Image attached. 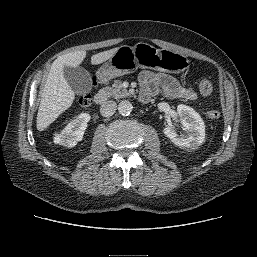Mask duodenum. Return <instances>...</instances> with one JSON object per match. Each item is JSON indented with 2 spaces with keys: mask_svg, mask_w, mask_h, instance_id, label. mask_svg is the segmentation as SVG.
<instances>
[{
  "mask_svg": "<svg viewBox=\"0 0 257 257\" xmlns=\"http://www.w3.org/2000/svg\"><path fill=\"white\" fill-rule=\"evenodd\" d=\"M105 82H106V80H103L102 83L104 84ZM107 97H108L107 91L101 90V91H99V92L95 95V97H94V102H95L97 105H102V104L106 101Z\"/></svg>",
  "mask_w": 257,
  "mask_h": 257,
  "instance_id": "410a0bca",
  "label": "duodenum"
}]
</instances>
